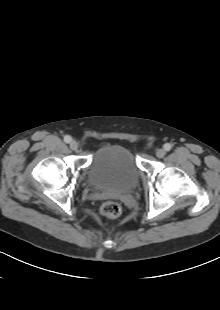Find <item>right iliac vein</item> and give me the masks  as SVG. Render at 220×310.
I'll list each match as a JSON object with an SVG mask.
<instances>
[{
  "mask_svg": "<svg viewBox=\"0 0 220 310\" xmlns=\"http://www.w3.org/2000/svg\"><path fill=\"white\" fill-rule=\"evenodd\" d=\"M70 148H71L72 150H74V151H77L78 148H79V145H78V143H77L76 141H71V143H70Z\"/></svg>",
  "mask_w": 220,
  "mask_h": 310,
  "instance_id": "obj_1",
  "label": "right iliac vein"
}]
</instances>
